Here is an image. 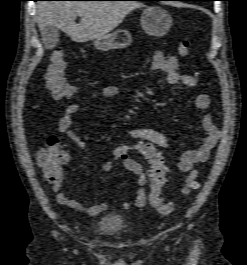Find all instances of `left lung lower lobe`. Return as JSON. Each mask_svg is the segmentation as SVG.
Wrapping results in <instances>:
<instances>
[{
	"mask_svg": "<svg viewBox=\"0 0 247 265\" xmlns=\"http://www.w3.org/2000/svg\"><path fill=\"white\" fill-rule=\"evenodd\" d=\"M142 1H163V0H142ZM167 1H202V0H167Z\"/></svg>",
	"mask_w": 247,
	"mask_h": 265,
	"instance_id": "1",
	"label": "left lung lower lobe"
}]
</instances>
